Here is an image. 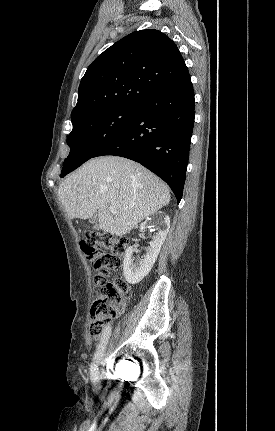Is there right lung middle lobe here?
<instances>
[{
  "label": "right lung middle lobe",
  "instance_id": "dd1d6c3e",
  "mask_svg": "<svg viewBox=\"0 0 275 431\" xmlns=\"http://www.w3.org/2000/svg\"><path fill=\"white\" fill-rule=\"evenodd\" d=\"M137 107L116 106L89 113L72 122L67 136L70 153L63 163L61 177L78 168L115 138L135 118Z\"/></svg>",
  "mask_w": 275,
  "mask_h": 431
}]
</instances>
